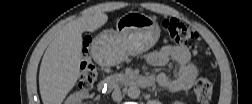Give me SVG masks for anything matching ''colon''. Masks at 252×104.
I'll return each instance as SVG.
<instances>
[{
	"label": "colon",
	"mask_w": 252,
	"mask_h": 104,
	"mask_svg": "<svg viewBox=\"0 0 252 104\" xmlns=\"http://www.w3.org/2000/svg\"><path fill=\"white\" fill-rule=\"evenodd\" d=\"M163 27L167 32L170 41L180 44H188L198 38L197 32L187 27L184 23L175 18H169L163 21ZM89 39L85 43V58L81 65L79 76V87L82 90L89 89L98 77V71L88 56L87 49ZM194 93L199 102H209L213 95L212 83L204 77H200L195 81Z\"/></svg>",
	"instance_id": "5ec220e1"
}]
</instances>
